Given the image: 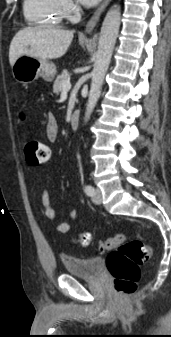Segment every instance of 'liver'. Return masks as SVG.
Wrapping results in <instances>:
<instances>
[{
	"label": "liver",
	"mask_w": 171,
	"mask_h": 337,
	"mask_svg": "<svg viewBox=\"0 0 171 337\" xmlns=\"http://www.w3.org/2000/svg\"><path fill=\"white\" fill-rule=\"evenodd\" d=\"M73 39V31L28 27L20 30L11 41L9 62L13 66L22 55L48 60L62 57Z\"/></svg>",
	"instance_id": "1"
}]
</instances>
